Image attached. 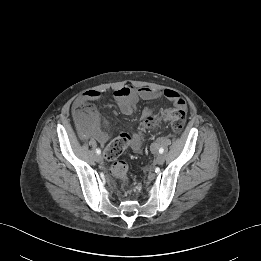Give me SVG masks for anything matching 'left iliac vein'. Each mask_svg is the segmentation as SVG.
I'll return each instance as SVG.
<instances>
[{
  "mask_svg": "<svg viewBox=\"0 0 261 261\" xmlns=\"http://www.w3.org/2000/svg\"><path fill=\"white\" fill-rule=\"evenodd\" d=\"M155 163L157 165H162L164 163V156L162 154H157L155 157Z\"/></svg>",
  "mask_w": 261,
  "mask_h": 261,
  "instance_id": "left-iliac-vein-1",
  "label": "left iliac vein"
}]
</instances>
